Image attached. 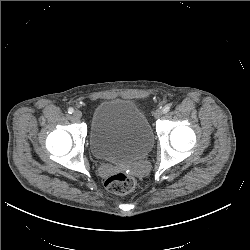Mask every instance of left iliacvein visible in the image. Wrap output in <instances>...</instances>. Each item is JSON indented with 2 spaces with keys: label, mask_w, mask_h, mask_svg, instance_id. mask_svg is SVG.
I'll use <instances>...</instances> for the list:
<instances>
[{
  "label": "left iliac vein",
  "mask_w": 250,
  "mask_h": 250,
  "mask_svg": "<svg viewBox=\"0 0 250 250\" xmlns=\"http://www.w3.org/2000/svg\"><path fill=\"white\" fill-rule=\"evenodd\" d=\"M163 114V110L161 109H157L155 112H154V117L155 118H160Z\"/></svg>",
  "instance_id": "1"
}]
</instances>
